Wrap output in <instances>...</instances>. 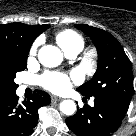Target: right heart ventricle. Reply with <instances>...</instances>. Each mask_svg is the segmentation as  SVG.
<instances>
[{"instance_id": "obj_1", "label": "right heart ventricle", "mask_w": 136, "mask_h": 136, "mask_svg": "<svg viewBox=\"0 0 136 136\" xmlns=\"http://www.w3.org/2000/svg\"><path fill=\"white\" fill-rule=\"evenodd\" d=\"M56 41L65 53L72 50L81 51L84 46L81 35L73 30H63L59 32L56 36Z\"/></svg>"}]
</instances>
